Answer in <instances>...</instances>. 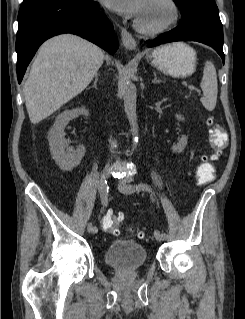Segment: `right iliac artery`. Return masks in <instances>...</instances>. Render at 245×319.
<instances>
[{
	"instance_id": "1",
	"label": "right iliac artery",
	"mask_w": 245,
	"mask_h": 319,
	"mask_svg": "<svg viewBox=\"0 0 245 319\" xmlns=\"http://www.w3.org/2000/svg\"><path fill=\"white\" fill-rule=\"evenodd\" d=\"M102 195H101V200H102V204L106 205L107 204V196H108V186H107V182L106 180L104 181L102 187ZM92 231L93 233H97L98 229L96 226H92Z\"/></svg>"
}]
</instances>
